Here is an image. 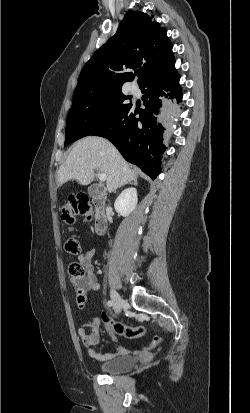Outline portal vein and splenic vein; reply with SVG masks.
<instances>
[{
	"label": "portal vein and splenic vein",
	"instance_id": "1",
	"mask_svg": "<svg viewBox=\"0 0 250 413\" xmlns=\"http://www.w3.org/2000/svg\"><path fill=\"white\" fill-rule=\"evenodd\" d=\"M98 178H99L100 181L104 182L106 180V175L99 172Z\"/></svg>",
	"mask_w": 250,
	"mask_h": 413
}]
</instances>
